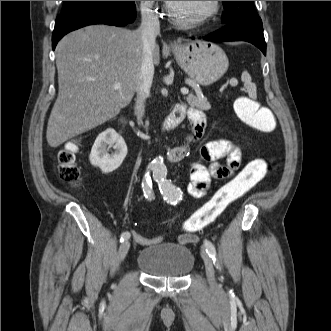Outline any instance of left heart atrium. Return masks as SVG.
Wrapping results in <instances>:
<instances>
[{"mask_svg":"<svg viewBox=\"0 0 331 331\" xmlns=\"http://www.w3.org/2000/svg\"><path fill=\"white\" fill-rule=\"evenodd\" d=\"M167 3L171 4V3H174L175 1H166Z\"/></svg>","mask_w":331,"mask_h":331,"instance_id":"obj_1","label":"left heart atrium"}]
</instances>
